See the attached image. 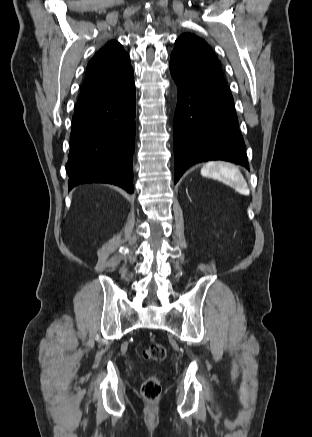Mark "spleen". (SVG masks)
Listing matches in <instances>:
<instances>
[{"label": "spleen", "mask_w": 312, "mask_h": 437, "mask_svg": "<svg viewBox=\"0 0 312 437\" xmlns=\"http://www.w3.org/2000/svg\"><path fill=\"white\" fill-rule=\"evenodd\" d=\"M201 175L222 181L241 194L247 195L250 192L243 175L232 164L226 162H208L202 167Z\"/></svg>", "instance_id": "1"}]
</instances>
